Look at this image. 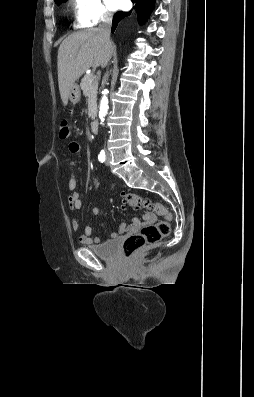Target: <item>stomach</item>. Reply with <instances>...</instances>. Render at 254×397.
I'll return each instance as SVG.
<instances>
[{
  "label": "stomach",
  "mask_w": 254,
  "mask_h": 397,
  "mask_svg": "<svg viewBox=\"0 0 254 397\" xmlns=\"http://www.w3.org/2000/svg\"><path fill=\"white\" fill-rule=\"evenodd\" d=\"M80 97H81L80 88L78 84L74 83L70 88L68 99L72 104H76L80 101Z\"/></svg>",
  "instance_id": "0dacf381"
}]
</instances>
